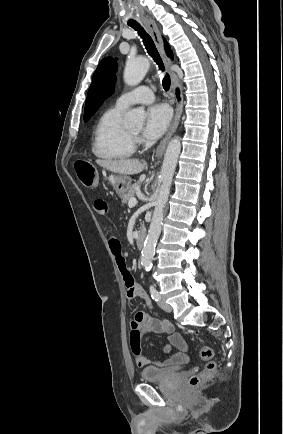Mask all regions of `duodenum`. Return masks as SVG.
Instances as JSON below:
<instances>
[{
    "instance_id": "obj_1",
    "label": "duodenum",
    "mask_w": 283,
    "mask_h": 434,
    "mask_svg": "<svg viewBox=\"0 0 283 434\" xmlns=\"http://www.w3.org/2000/svg\"><path fill=\"white\" fill-rule=\"evenodd\" d=\"M146 233L143 229H140L136 237V245L139 249H142L145 243Z\"/></svg>"
}]
</instances>
